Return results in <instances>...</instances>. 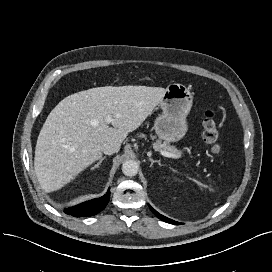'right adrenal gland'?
Wrapping results in <instances>:
<instances>
[{"label": "right adrenal gland", "instance_id": "2a0ac1e0", "mask_svg": "<svg viewBox=\"0 0 272 272\" xmlns=\"http://www.w3.org/2000/svg\"><path fill=\"white\" fill-rule=\"evenodd\" d=\"M106 159V156L100 158V160L95 164L91 169L94 170L95 168L99 167V165Z\"/></svg>", "mask_w": 272, "mask_h": 272}]
</instances>
